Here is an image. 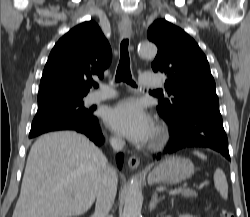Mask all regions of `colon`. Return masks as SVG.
I'll return each instance as SVG.
<instances>
[{
    "label": "colon",
    "mask_w": 250,
    "mask_h": 217,
    "mask_svg": "<svg viewBox=\"0 0 250 217\" xmlns=\"http://www.w3.org/2000/svg\"><path fill=\"white\" fill-rule=\"evenodd\" d=\"M220 217H233L231 209L226 206L222 207L220 210Z\"/></svg>",
    "instance_id": "5ec220e1"
}]
</instances>
